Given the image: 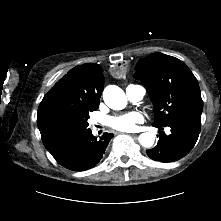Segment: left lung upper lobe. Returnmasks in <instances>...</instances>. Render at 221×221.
<instances>
[{"label": "left lung upper lobe", "instance_id": "obj_1", "mask_svg": "<svg viewBox=\"0 0 221 221\" xmlns=\"http://www.w3.org/2000/svg\"><path fill=\"white\" fill-rule=\"evenodd\" d=\"M135 69L134 77L146 85L155 105L154 125L165 126L171 119L202 113L197 79L181 60L155 53L141 59Z\"/></svg>", "mask_w": 221, "mask_h": 221}]
</instances>
